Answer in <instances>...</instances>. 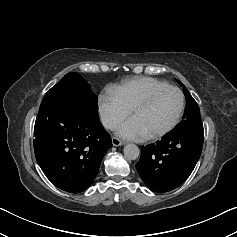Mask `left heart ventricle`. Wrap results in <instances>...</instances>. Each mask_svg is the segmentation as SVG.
<instances>
[{
  "instance_id": "b2bd125f",
  "label": "left heart ventricle",
  "mask_w": 237,
  "mask_h": 237,
  "mask_svg": "<svg viewBox=\"0 0 237 237\" xmlns=\"http://www.w3.org/2000/svg\"><path fill=\"white\" fill-rule=\"evenodd\" d=\"M179 105V94L174 90H165L155 96L148 105L135 110L131 118L148 136L165 128L176 115Z\"/></svg>"
}]
</instances>
